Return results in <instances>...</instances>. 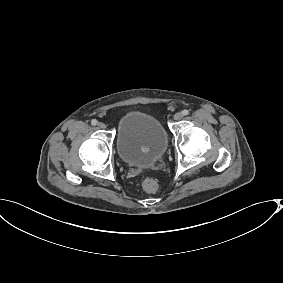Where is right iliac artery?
<instances>
[{
    "instance_id": "82829eb1",
    "label": "right iliac artery",
    "mask_w": 283,
    "mask_h": 283,
    "mask_svg": "<svg viewBox=\"0 0 283 283\" xmlns=\"http://www.w3.org/2000/svg\"><path fill=\"white\" fill-rule=\"evenodd\" d=\"M97 123H98V121H97L96 119H93V120L91 121V124H92V125H97Z\"/></svg>"
}]
</instances>
